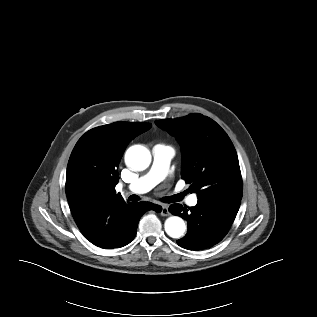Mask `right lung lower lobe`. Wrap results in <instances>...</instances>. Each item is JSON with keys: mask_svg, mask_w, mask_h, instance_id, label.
<instances>
[{"mask_svg": "<svg viewBox=\"0 0 317 317\" xmlns=\"http://www.w3.org/2000/svg\"><path fill=\"white\" fill-rule=\"evenodd\" d=\"M73 218L82 234L94 245L120 248L135 237L139 219L149 210L157 213L161 206L150 202L102 204L98 198L85 197L70 204Z\"/></svg>", "mask_w": 317, "mask_h": 317, "instance_id": "right-lung-lower-lobe-1", "label": "right lung lower lobe"}]
</instances>
